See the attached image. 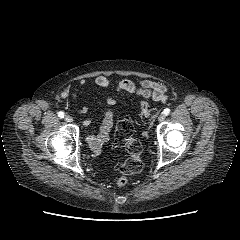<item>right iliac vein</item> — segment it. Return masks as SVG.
<instances>
[{"label":"right iliac vein","instance_id":"obj_1","mask_svg":"<svg viewBox=\"0 0 240 240\" xmlns=\"http://www.w3.org/2000/svg\"><path fill=\"white\" fill-rule=\"evenodd\" d=\"M65 121L67 122H71L72 121V117L70 115H65Z\"/></svg>","mask_w":240,"mask_h":240}]
</instances>
